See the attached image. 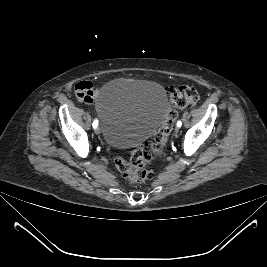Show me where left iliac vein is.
<instances>
[{
    "instance_id": "left-iliac-vein-1",
    "label": "left iliac vein",
    "mask_w": 267,
    "mask_h": 267,
    "mask_svg": "<svg viewBox=\"0 0 267 267\" xmlns=\"http://www.w3.org/2000/svg\"><path fill=\"white\" fill-rule=\"evenodd\" d=\"M175 132H176V133L179 132V127H178V126L175 128Z\"/></svg>"
}]
</instances>
